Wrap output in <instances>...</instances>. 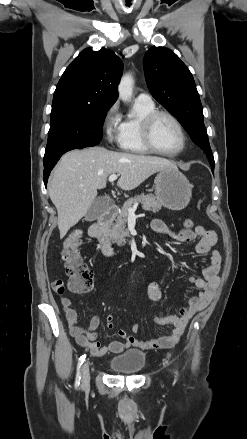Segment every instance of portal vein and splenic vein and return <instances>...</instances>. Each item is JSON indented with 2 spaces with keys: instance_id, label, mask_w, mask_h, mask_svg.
Returning <instances> with one entry per match:
<instances>
[{
  "instance_id": "1",
  "label": "portal vein and splenic vein",
  "mask_w": 247,
  "mask_h": 439,
  "mask_svg": "<svg viewBox=\"0 0 247 439\" xmlns=\"http://www.w3.org/2000/svg\"><path fill=\"white\" fill-rule=\"evenodd\" d=\"M119 177L118 174H112L109 176V182L115 181ZM138 203H135L133 207L128 209V216H135V211L137 209Z\"/></svg>"
}]
</instances>
